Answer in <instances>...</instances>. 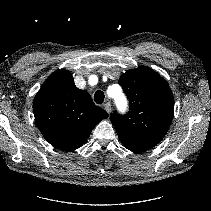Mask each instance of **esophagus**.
Masks as SVG:
<instances>
[{
	"label": "esophagus",
	"mask_w": 211,
	"mask_h": 211,
	"mask_svg": "<svg viewBox=\"0 0 211 211\" xmlns=\"http://www.w3.org/2000/svg\"><path fill=\"white\" fill-rule=\"evenodd\" d=\"M103 107H104V109H105V111H106L107 113H110V112H111V104H110L109 102L105 103V104L103 105Z\"/></svg>",
	"instance_id": "1"
}]
</instances>
